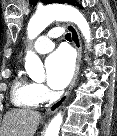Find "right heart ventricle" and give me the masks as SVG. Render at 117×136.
Returning <instances> with one entry per match:
<instances>
[{
  "instance_id": "e07e8e85",
  "label": "right heart ventricle",
  "mask_w": 117,
  "mask_h": 136,
  "mask_svg": "<svg viewBox=\"0 0 117 136\" xmlns=\"http://www.w3.org/2000/svg\"><path fill=\"white\" fill-rule=\"evenodd\" d=\"M11 97L14 105L21 108H34L41 102L36 84L21 76L12 83Z\"/></svg>"
}]
</instances>
